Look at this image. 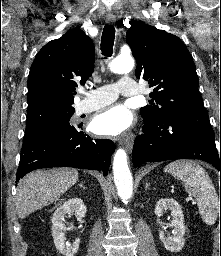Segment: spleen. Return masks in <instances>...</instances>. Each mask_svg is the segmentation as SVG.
Returning <instances> with one entry per match:
<instances>
[{
    "label": "spleen",
    "mask_w": 221,
    "mask_h": 256,
    "mask_svg": "<svg viewBox=\"0 0 221 256\" xmlns=\"http://www.w3.org/2000/svg\"><path fill=\"white\" fill-rule=\"evenodd\" d=\"M164 171L184 182L186 192L197 201L202 220L213 225L219 214V199L205 169L191 161L177 160L168 164Z\"/></svg>",
    "instance_id": "spleen-1"
}]
</instances>
